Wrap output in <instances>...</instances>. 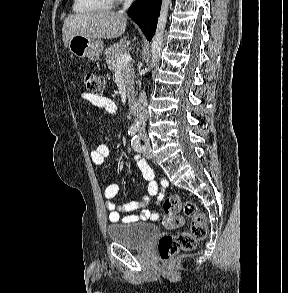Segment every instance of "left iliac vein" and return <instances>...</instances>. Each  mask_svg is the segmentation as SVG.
Returning a JSON list of instances; mask_svg holds the SVG:
<instances>
[{"instance_id":"left-iliac-vein-1","label":"left iliac vein","mask_w":288,"mask_h":293,"mask_svg":"<svg viewBox=\"0 0 288 293\" xmlns=\"http://www.w3.org/2000/svg\"><path fill=\"white\" fill-rule=\"evenodd\" d=\"M146 158L148 159H152L153 158V154H152V151H151V145L150 143H146V149H145V152H144Z\"/></svg>"}]
</instances>
